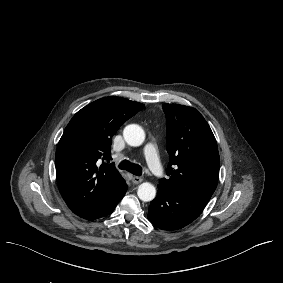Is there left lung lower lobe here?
Segmentation results:
<instances>
[{
  "instance_id": "0a47b994",
  "label": "left lung lower lobe",
  "mask_w": 283,
  "mask_h": 283,
  "mask_svg": "<svg viewBox=\"0 0 283 283\" xmlns=\"http://www.w3.org/2000/svg\"><path fill=\"white\" fill-rule=\"evenodd\" d=\"M206 202L188 194L174 192L158 185V194L151 201L148 220L163 230H178L194 221Z\"/></svg>"
}]
</instances>
